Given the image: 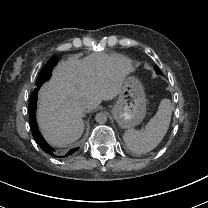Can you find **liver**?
<instances>
[{
  "label": "liver",
  "mask_w": 208,
  "mask_h": 208,
  "mask_svg": "<svg viewBox=\"0 0 208 208\" xmlns=\"http://www.w3.org/2000/svg\"><path fill=\"white\" fill-rule=\"evenodd\" d=\"M133 71L122 55L92 54L62 62L40 93L38 120L48 141L63 146L77 140L83 132V111L116 98Z\"/></svg>",
  "instance_id": "obj_1"
}]
</instances>
